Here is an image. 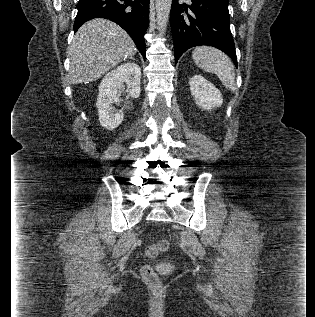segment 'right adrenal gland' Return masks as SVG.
I'll return each instance as SVG.
<instances>
[{"label":"right adrenal gland","instance_id":"obj_1","mask_svg":"<svg viewBox=\"0 0 315 317\" xmlns=\"http://www.w3.org/2000/svg\"><path fill=\"white\" fill-rule=\"evenodd\" d=\"M129 59L134 60V57H133V56H130Z\"/></svg>","mask_w":315,"mask_h":317}]
</instances>
